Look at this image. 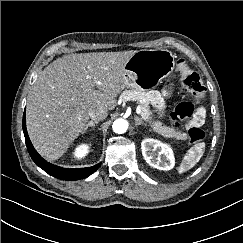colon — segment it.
<instances>
[{
	"instance_id": "obj_1",
	"label": "colon",
	"mask_w": 243,
	"mask_h": 243,
	"mask_svg": "<svg viewBox=\"0 0 243 243\" xmlns=\"http://www.w3.org/2000/svg\"><path fill=\"white\" fill-rule=\"evenodd\" d=\"M177 70L181 74L183 86L193 95L196 102H201L206 96V87L201 76L192 70L184 59L177 61ZM195 117L194 105L190 102H181L170 115L172 124L180 127L182 121H189ZM186 136L190 142H199L204 138V132L201 128L192 126L187 129Z\"/></svg>"
}]
</instances>
